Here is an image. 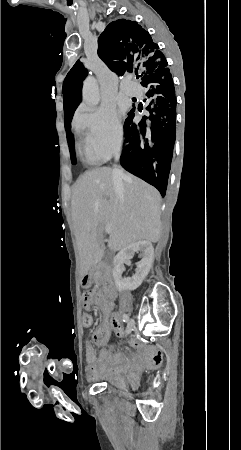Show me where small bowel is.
Segmentation results:
<instances>
[{
	"label": "small bowel",
	"instance_id": "1",
	"mask_svg": "<svg viewBox=\"0 0 241 450\" xmlns=\"http://www.w3.org/2000/svg\"><path fill=\"white\" fill-rule=\"evenodd\" d=\"M112 288L113 285L110 282H100L93 287H90V283L83 284V289H88L82 297L84 308L89 310L96 306L107 313L115 298V295L110 292ZM84 326L90 327L91 325ZM112 330L118 335L123 333L121 321L116 316L111 319L107 317L96 328L92 338L86 342L85 358L87 363V378L93 381L125 373L131 382L135 384L140 372L146 366V362L140 356H127L125 358L121 353H112L108 349H103L100 358L97 357L95 346L105 344ZM129 344L132 348L142 347L136 339H131ZM151 362L155 367L160 366L163 362V354L158 350L153 351Z\"/></svg>",
	"mask_w": 241,
	"mask_h": 450
}]
</instances>
